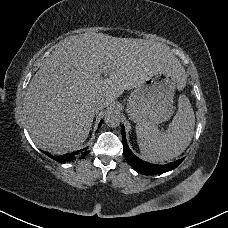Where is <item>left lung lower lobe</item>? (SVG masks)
I'll return each instance as SVG.
<instances>
[{
  "label": "left lung lower lobe",
  "mask_w": 228,
  "mask_h": 228,
  "mask_svg": "<svg viewBox=\"0 0 228 228\" xmlns=\"http://www.w3.org/2000/svg\"><path fill=\"white\" fill-rule=\"evenodd\" d=\"M122 140H123V148H124V155L128 163L137 171L141 172L144 175H155V174H162L167 171H171L178 167L182 161L185 159H178L177 161L165 164V165H154L148 162H145L138 158L136 155L128 147L126 136H125V129L122 125Z\"/></svg>",
  "instance_id": "left-lung-lower-lobe-1"
}]
</instances>
